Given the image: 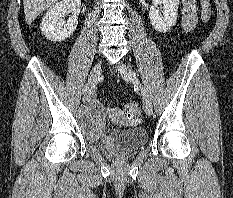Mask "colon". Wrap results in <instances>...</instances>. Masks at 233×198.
<instances>
[{
	"mask_svg": "<svg viewBox=\"0 0 233 198\" xmlns=\"http://www.w3.org/2000/svg\"><path fill=\"white\" fill-rule=\"evenodd\" d=\"M201 19L204 23H208L211 19V3L210 0H200ZM125 111L131 118H137L140 114V106L136 102H129L125 105Z\"/></svg>",
	"mask_w": 233,
	"mask_h": 198,
	"instance_id": "5ec220e1",
	"label": "colon"
}]
</instances>
